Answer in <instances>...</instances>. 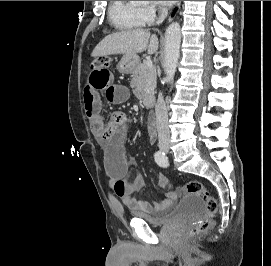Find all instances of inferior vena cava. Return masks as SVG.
Wrapping results in <instances>:
<instances>
[{
	"mask_svg": "<svg viewBox=\"0 0 271 266\" xmlns=\"http://www.w3.org/2000/svg\"><path fill=\"white\" fill-rule=\"evenodd\" d=\"M168 15L167 8H162L160 10V16L156 21V24H161ZM155 114H156V125L158 132L159 142L168 141L170 138V131L168 126V110L163 98L162 93L158 95L157 103L155 105Z\"/></svg>",
	"mask_w": 271,
	"mask_h": 266,
	"instance_id": "inferior-vena-cava-1",
	"label": "inferior vena cava"
}]
</instances>
